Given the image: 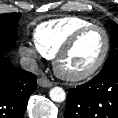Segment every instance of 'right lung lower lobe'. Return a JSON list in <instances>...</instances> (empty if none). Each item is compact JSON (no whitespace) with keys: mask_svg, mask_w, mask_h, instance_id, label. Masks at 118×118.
I'll return each instance as SVG.
<instances>
[{"mask_svg":"<svg viewBox=\"0 0 118 118\" xmlns=\"http://www.w3.org/2000/svg\"><path fill=\"white\" fill-rule=\"evenodd\" d=\"M36 76L0 59V118H23L30 95L36 90Z\"/></svg>","mask_w":118,"mask_h":118,"instance_id":"98d812e1","label":"right lung lower lobe"}]
</instances>
